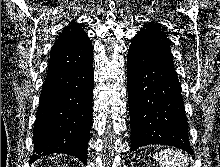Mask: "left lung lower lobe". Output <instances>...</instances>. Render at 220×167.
<instances>
[{
	"instance_id": "left-lung-lower-lobe-1",
	"label": "left lung lower lobe",
	"mask_w": 220,
	"mask_h": 167,
	"mask_svg": "<svg viewBox=\"0 0 220 167\" xmlns=\"http://www.w3.org/2000/svg\"><path fill=\"white\" fill-rule=\"evenodd\" d=\"M127 84L132 150L162 144L193 154L173 58L129 50Z\"/></svg>"
}]
</instances>
